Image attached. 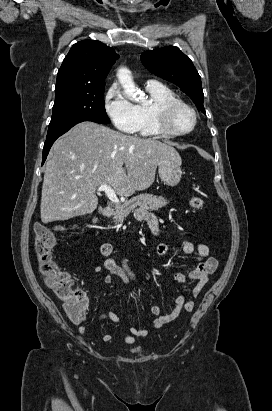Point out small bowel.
Wrapping results in <instances>:
<instances>
[{
	"label": "small bowel",
	"instance_id": "c3829d8e",
	"mask_svg": "<svg viewBox=\"0 0 272 411\" xmlns=\"http://www.w3.org/2000/svg\"><path fill=\"white\" fill-rule=\"evenodd\" d=\"M137 218L147 223L153 235L158 236L160 229L158 221L154 215L147 209H140L136 214ZM101 254L104 257L102 265L94 267V272L105 273L103 281L107 284L111 283L113 276H119L126 283H136L138 281L135 273L130 265V258H124L118 261L115 257V251L111 243H103L101 245ZM182 251L186 255H193L197 261V265L188 269L185 272H175L174 278L179 284H184L187 280L195 281L193 295L197 296L208 282L209 276L214 273L217 268V260L209 256V248L205 244L194 245L192 242L186 241L183 243ZM168 252V246L161 243L156 247V254L159 257L165 256ZM194 309L193 301H186L185 296L180 294L175 300L174 309L168 314H162L161 308L157 305L151 307L150 312L154 316L151 322L152 329H160L165 324L175 319L183 310L192 311ZM100 320L120 323V317L112 310L99 315ZM81 335L87 334V328L80 326L78 329ZM148 330L146 328L130 327L129 333L123 336V340L128 345L136 343L138 338L146 337ZM104 342L112 340L111 334H104L102 337Z\"/></svg>",
	"mask_w": 272,
	"mask_h": 411
}]
</instances>
